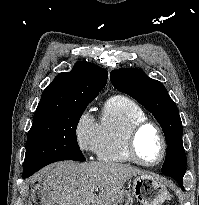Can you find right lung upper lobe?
Returning a JSON list of instances; mask_svg holds the SVG:
<instances>
[{"label": "right lung upper lobe", "instance_id": "right-lung-upper-lobe-1", "mask_svg": "<svg viewBox=\"0 0 199 205\" xmlns=\"http://www.w3.org/2000/svg\"><path fill=\"white\" fill-rule=\"evenodd\" d=\"M108 72L89 62H77L71 72L59 73L43 91L36 112L72 102L95 99L105 87Z\"/></svg>", "mask_w": 199, "mask_h": 205}]
</instances>
